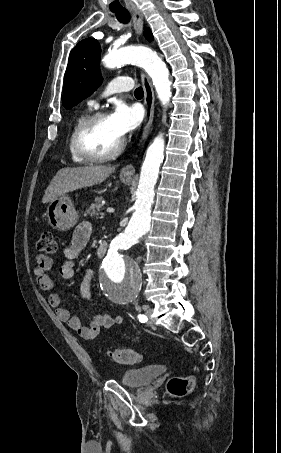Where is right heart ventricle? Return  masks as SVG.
Listing matches in <instances>:
<instances>
[{
  "label": "right heart ventricle",
  "instance_id": "e07e8e85",
  "mask_svg": "<svg viewBox=\"0 0 281 453\" xmlns=\"http://www.w3.org/2000/svg\"><path fill=\"white\" fill-rule=\"evenodd\" d=\"M90 112L83 113L80 115L75 122L72 125V128L69 133L68 137V143H69V150L71 153V156L75 162L82 163L85 160L78 154L77 149H76V134L81 126V124L88 118L90 117Z\"/></svg>",
  "mask_w": 281,
  "mask_h": 453
}]
</instances>
